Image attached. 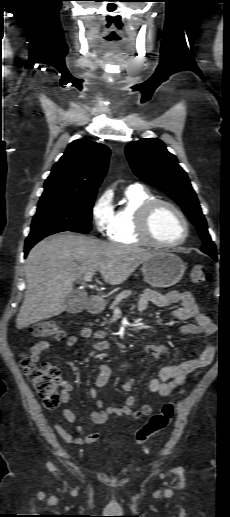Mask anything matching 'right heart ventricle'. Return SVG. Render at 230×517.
Wrapping results in <instances>:
<instances>
[{"label":"right heart ventricle","mask_w":230,"mask_h":517,"mask_svg":"<svg viewBox=\"0 0 230 517\" xmlns=\"http://www.w3.org/2000/svg\"><path fill=\"white\" fill-rule=\"evenodd\" d=\"M124 197V205L115 212L109 239L126 246L146 244L139 236L137 218L141 207L155 197L151 191L139 185L126 188Z\"/></svg>","instance_id":"right-heart-ventricle-1"}]
</instances>
